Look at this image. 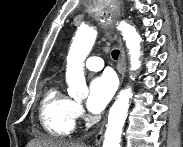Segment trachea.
I'll list each match as a JSON object with an SVG mask.
<instances>
[{"instance_id":"trachea-1","label":"trachea","mask_w":183,"mask_h":147,"mask_svg":"<svg viewBox=\"0 0 183 147\" xmlns=\"http://www.w3.org/2000/svg\"><path fill=\"white\" fill-rule=\"evenodd\" d=\"M119 54H120V51H119V50H113V51H112V58H113L114 60H117L118 57H119Z\"/></svg>"}]
</instances>
